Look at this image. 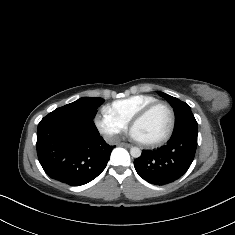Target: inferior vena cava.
Masks as SVG:
<instances>
[{"instance_id": "inferior-vena-cava-1", "label": "inferior vena cava", "mask_w": 235, "mask_h": 235, "mask_svg": "<svg viewBox=\"0 0 235 235\" xmlns=\"http://www.w3.org/2000/svg\"><path fill=\"white\" fill-rule=\"evenodd\" d=\"M104 139L109 145H115L120 142V138L118 135H106Z\"/></svg>"}]
</instances>
